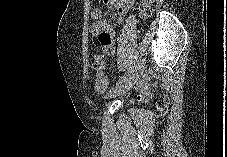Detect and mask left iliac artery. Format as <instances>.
<instances>
[{"label": "left iliac artery", "instance_id": "1", "mask_svg": "<svg viewBox=\"0 0 227 157\" xmlns=\"http://www.w3.org/2000/svg\"><path fill=\"white\" fill-rule=\"evenodd\" d=\"M132 72H133V66L130 67L128 69V71L122 77H120L118 79V81L116 82V84H120V83L124 82L131 75Z\"/></svg>", "mask_w": 227, "mask_h": 157}]
</instances>
